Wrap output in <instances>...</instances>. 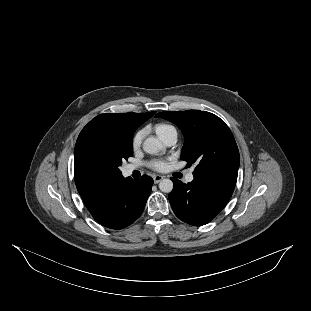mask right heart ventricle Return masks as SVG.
<instances>
[{"instance_id":"e07e8e85","label":"right heart ventricle","mask_w":311,"mask_h":311,"mask_svg":"<svg viewBox=\"0 0 311 311\" xmlns=\"http://www.w3.org/2000/svg\"><path fill=\"white\" fill-rule=\"evenodd\" d=\"M154 129L160 138H162L169 132L177 133L176 127L170 123H158L155 125Z\"/></svg>"}]
</instances>
